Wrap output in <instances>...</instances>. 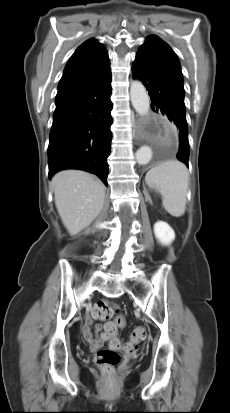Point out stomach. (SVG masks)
I'll list each match as a JSON object with an SVG mask.
<instances>
[{"mask_svg": "<svg viewBox=\"0 0 230 413\" xmlns=\"http://www.w3.org/2000/svg\"><path fill=\"white\" fill-rule=\"evenodd\" d=\"M151 189H155L154 187H152V186H149Z\"/></svg>", "mask_w": 230, "mask_h": 413, "instance_id": "obj_1", "label": "stomach"}]
</instances>
